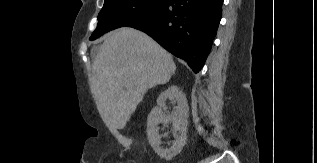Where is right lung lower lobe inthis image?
<instances>
[{
	"label": "right lung lower lobe",
	"instance_id": "obj_1",
	"mask_svg": "<svg viewBox=\"0 0 317 163\" xmlns=\"http://www.w3.org/2000/svg\"><path fill=\"white\" fill-rule=\"evenodd\" d=\"M224 0H168L126 27L139 29L198 73L210 52Z\"/></svg>",
	"mask_w": 317,
	"mask_h": 163
}]
</instances>
